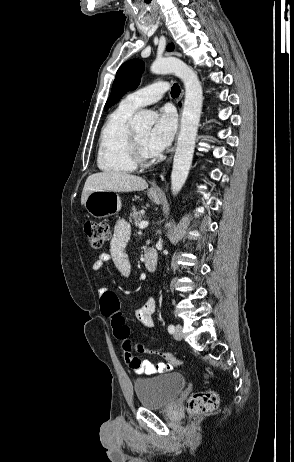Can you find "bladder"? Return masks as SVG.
Segmentation results:
<instances>
[{
  "label": "bladder",
  "mask_w": 294,
  "mask_h": 462,
  "mask_svg": "<svg viewBox=\"0 0 294 462\" xmlns=\"http://www.w3.org/2000/svg\"><path fill=\"white\" fill-rule=\"evenodd\" d=\"M186 385L187 381L183 375L167 372L135 380L134 390L142 407L159 409L172 404Z\"/></svg>",
  "instance_id": "obj_1"
}]
</instances>
